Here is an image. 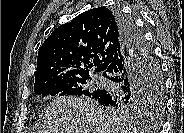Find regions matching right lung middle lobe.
I'll return each mask as SVG.
<instances>
[{
    "label": "right lung middle lobe",
    "mask_w": 184,
    "mask_h": 133,
    "mask_svg": "<svg viewBox=\"0 0 184 133\" xmlns=\"http://www.w3.org/2000/svg\"><path fill=\"white\" fill-rule=\"evenodd\" d=\"M138 34L142 33L135 27ZM148 55V84L144 88L140 99L120 98L110 106V110L118 114L135 113L141 110H153L160 114L164 104V87L161 70L151 49L146 45ZM90 76L53 78L34 85V92L43 96L84 95L95 96L102 92L98 85H89Z\"/></svg>",
    "instance_id": "obj_1"
}]
</instances>
